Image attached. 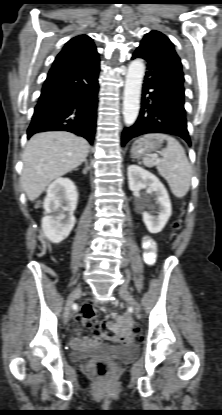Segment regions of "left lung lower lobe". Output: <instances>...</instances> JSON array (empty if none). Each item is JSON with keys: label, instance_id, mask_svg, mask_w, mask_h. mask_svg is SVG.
Segmentation results:
<instances>
[{"label": "left lung lower lobe", "instance_id": "0a47b994", "mask_svg": "<svg viewBox=\"0 0 222 415\" xmlns=\"http://www.w3.org/2000/svg\"><path fill=\"white\" fill-rule=\"evenodd\" d=\"M146 61L141 110L137 120L126 127L122 146L147 133H165L191 140L184 109V75L180 58L173 47L157 39H143L132 59Z\"/></svg>", "mask_w": 222, "mask_h": 415}]
</instances>
